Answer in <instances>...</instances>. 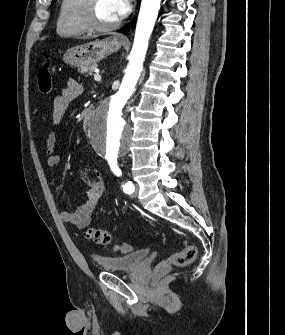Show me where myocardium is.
<instances>
[{
    "label": "myocardium",
    "mask_w": 285,
    "mask_h": 335,
    "mask_svg": "<svg viewBox=\"0 0 285 335\" xmlns=\"http://www.w3.org/2000/svg\"><path fill=\"white\" fill-rule=\"evenodd\" d=\"M85 23L87 31L94 34H104L114 30L118 23L115 22L111 25H100L96 21V1H85Z\"/></svg>",
    "instance_id": "f54148a6"
}]
</instances>
